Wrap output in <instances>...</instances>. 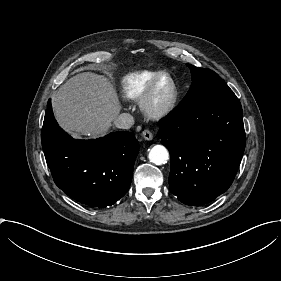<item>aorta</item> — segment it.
Listing matches in <instances>:
<instances>
[{"label":"aorta","mask_w":281,"mask_h":281,"mask_svg":"<svg viewBox=\"0 0 281 281\" xmlns=\"http://www.w3.org/2000/svg\"><path fill=\"white\" fill-rule=\"evenodd\" d=\"M150 162L156 165L167 163L169 159L168 150L163 145H155L148 154Z\"/></svg>","instance_id":"aorta-1"}]
</instances>
